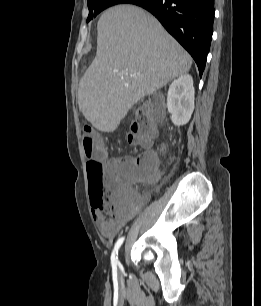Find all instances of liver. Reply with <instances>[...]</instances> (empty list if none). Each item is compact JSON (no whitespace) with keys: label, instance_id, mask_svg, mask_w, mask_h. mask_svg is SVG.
<instances>
[{"label":"liver","instance_id":"1","mask_svg":"<svg viewBox=\"0 0 261 306\" xmlns=\"http://www.w3.org/2000/svg\"><path fill=\"white\" fill-rule=\"evenodd\" d=\"M97 30L96 57L80 80L78 103L96 129L113 132L140 99L187 73L192 59L155 17L133 5L106 10Z\"/></svg>","mask_w":261,"mask_h":306}]
</instances>
